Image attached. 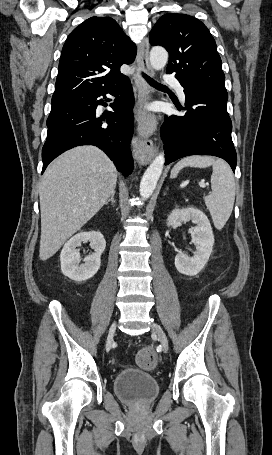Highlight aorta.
<instances>
[{"label": "aorta", "mask_w": 272, "mask_h": 455, "mask_svg": "<svg viewBox=\"0 0 272 455\" xmlns=\"http://www.w3.org/2000/svg\"><path fill=\"white\" fill-rule=\"evenodd\" d=\"M168 61V53L162 47H153L150 52V64L155 70H162ZM165 157L160 153L145 171L140 183V195L143 199L149 198L155 190L161 176Z\"/></svg>", "instance_id": "obj_1"}]
</instances>
